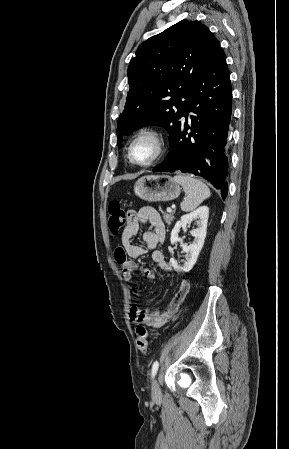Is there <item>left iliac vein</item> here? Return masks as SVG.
Segmentation results:
<instances>
[{"mask_svg":"<svg viewBox=\"0 0 289 449\" xmlns=\"http://www.w3.org/2000/svg\"><path fill=\"white\" fill-rule=\"evenodd\" d=\"M151 391H152V396L154 398H158L160 396V394H161L160 386H159L158 381L156 379H154L153 382H152Z\"/></svg>","mask_w":289,"mask_h":449,"instance_id":"obj_1","label":"left iliac vein"}]
</instances>
